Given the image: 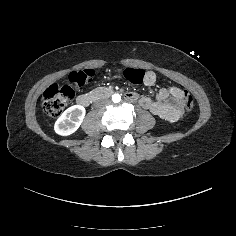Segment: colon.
I'll list each match as a JSON object with an SVG mask.
<instances>
[{"instance_id":"colon-1","label":"colon","mask_w":236,"mask_h":236,"mask_svg":"<svg viewBox=\"0 0 236 236\" xmlns=\"http://www.w3.org/2000/svg\"><path fill=\"white\" fill-rule=\"evenodd\" d=\"M148 76L143 69L127 68L125 70L126 79L132 84H140ZM92 77L93 71L90 69L73 71L68 77L70 85L58 86L54 84L50 86L43 97L42 106L44 111L50 116H58L74 98L73 87L88 84ZM152 78L154 80L153 76ZM181 101L186 111L192 110L193 97L189 93L183 92Z\"/></svg>"}]
</instances>
